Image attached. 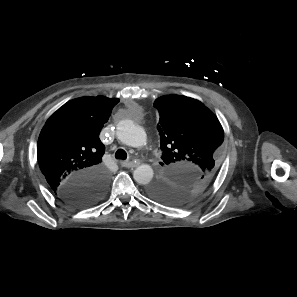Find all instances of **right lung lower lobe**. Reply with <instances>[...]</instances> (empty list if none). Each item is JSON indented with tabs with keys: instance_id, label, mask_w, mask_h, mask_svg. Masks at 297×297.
Returning a JSON list of instances; mask_svg holds the SVG:
<instances>
[{
	"instance_id": "98d812e1",
	"label": "right lung lower lobe",
	"mask_w": 297,
	"mask_h": 297,
	"mask_svg": "<svg viewBox=\"0 0 297 297\" xmlns=\"http://www.w3.org/2000/svg\"><path fill=\"white\" fill-rule=\"evenodd\" d=\"M108 182L105 171L81 173L65 185L57 196L71 206L87 207L103 198Z\"/></svg>"
}]
</instances>
